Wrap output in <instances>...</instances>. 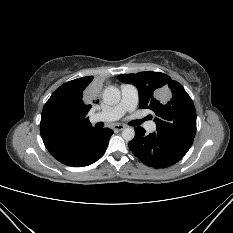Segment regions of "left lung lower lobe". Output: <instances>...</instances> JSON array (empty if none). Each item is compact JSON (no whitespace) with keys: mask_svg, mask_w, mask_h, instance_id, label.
I'll list each match as a JSON object with an SVG mask.
<instances>
[{"mask_svg":"<svg viewBox=\"0 0 233 233\" xmlns=\"http://www.w3.org/2000/svg\"><path fill=\"white\" fill-rule=\"evenodd\" d=\"M142 127L135 128V137L129 142L133 154L147 166L166 168L181 160L190 149L193 139L153 132L145 134Z\"/></svg>","mask_w":233,"mask_h":233,"instance_id":"obj_1","label":"left lung lower lobe"}]
</instances>
